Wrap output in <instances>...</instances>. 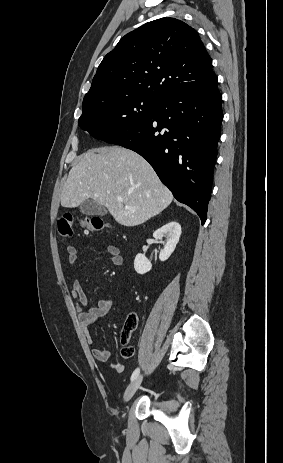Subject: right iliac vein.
<instances>
[{
  "label": "right iliac vein",
  "instance_id": "1",
  "mask_svg": "<svg viewBox=\"0 0 283 463\" xmlns=\"http://www.w3.org/2000/svg\"><path fill=\"white\" fill-rule=\"evenodd\" d=\"M142 382V376L137 377L135 380H133L129 386L127 387L125 393H124V401L128 402L136 393L138 388L140 387Z\"/></svg>",
  "mask_w": 283,
  "mask_h": 463
}]
</instances>
